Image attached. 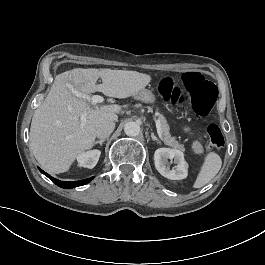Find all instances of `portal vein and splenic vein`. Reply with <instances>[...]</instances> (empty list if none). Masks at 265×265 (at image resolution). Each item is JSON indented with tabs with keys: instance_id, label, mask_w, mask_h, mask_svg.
I'll list each match as a JSON object with an SVG mask.
<instances>
[{
	"instance_id": "1",
	"label": "portal vein and splenic vein",
	"mask_w": 265,
	"mask_h": 265,
	"mask_svg": "<svg viewBox=\"0 0 265 265\" xmlns=\"http://www.w3.org/2000/svg\"><path fill=\"white\" fill-rule=\"evenodd\" d=\"M69 90L72 92L73 95H75L78 98H83L86 99L87 101H89L91 103V105L96 106L97 103H102L104 101V98L100 95H93L92 97H90L89 95H86L82 92H79L78 90H76L73 85L69 84L68 86ZM86 112L82 113L80 116V128L82 129L85 124H86ZM156 128H157V133L159 135L160 138H162V129H161V125H160V121L156 120Z\"/></svg>"
}]
</instances>
